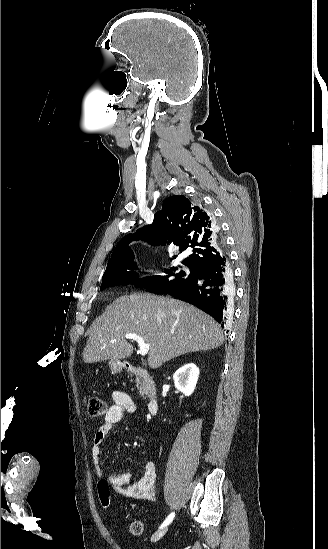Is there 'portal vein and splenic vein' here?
Wrapping results in <instances>:
<instances>
[{
    "instance_id": "obj_1",
    "label": "portal vein and splenic vein",
    "mask_w": 328,
    "mask_h": 549,
    "mask_svg": "<svg viewBox=\"0 0 328 549\" xmlns=\"http://www.w3.org/2000/svg\"><path fill=\"white\" fill-rule=\"evenodd\" d=\"M125 339H133V341H137L138 347H139V355H147L149 351V345L148 343H145L144 339L142 337H139V335H135V333H129V335H125ZM110 343H116V341H110Z\"/></svg>"
}]
</instances>
